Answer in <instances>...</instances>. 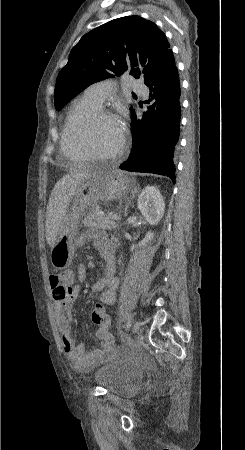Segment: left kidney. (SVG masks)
Returning <instances> with one entry per match:
<instances>
[{
	"mask_svg": "<svg viewBox=\"0 0 245 450\" xmlns=\"http://www.w3.org/2000/svg\"><path fill=\"white\" fill-rule=\"evenodd\" d=\"M137 207L144 216L145 220L151 224H157L164 215L165 203L159 189L155 186H147L140 194L137 200ZM154 237V233L149 231L144 239L138 245H132L133 251L137 246H145Z\"/></svg>",
	"mask_w": 245,
	"mask_h": 450,
	"instance_id": "1",
	"label": "left kidney"
}]
</instances>
